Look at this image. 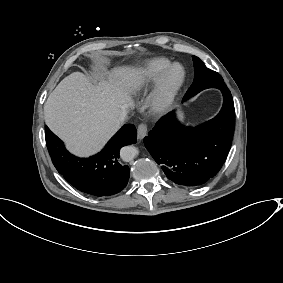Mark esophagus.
<instances>
[{"label":"esophagus","mask_w":283,"mask_h":283,"mask_svg":"<svg viewBox=\"0 0 283 283\" xmlns=\"http://www.w3.org/2000/svg\"><path fill=\"white\" fill-rule=\"evenodd\" d=\"M138 138L143 139L147 134V125L145 123H140L137 130Z\"/></svg>","instance_id":"obj_1"}]
</instances>
